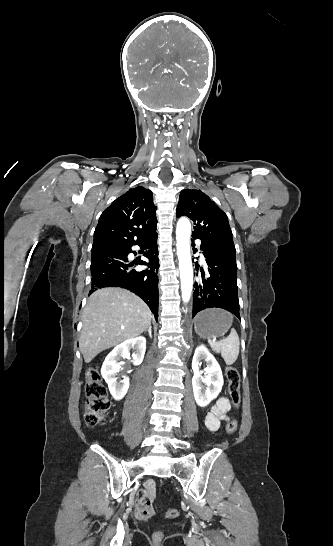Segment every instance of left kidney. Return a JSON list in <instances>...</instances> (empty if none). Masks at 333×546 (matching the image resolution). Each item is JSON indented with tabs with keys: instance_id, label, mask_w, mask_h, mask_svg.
<instances>
[{
	"instance_id": "obj_1",
	"label": "left kidney",
	"mask_w": 333,
	"mask_h": 546,
	"mask_svg": "<svg viewBox=\"0 0 333 546\" xmlns=\"http://www.w3.org/2000/svg\"><path fill=\"white\" fill-rule=\"evenodd\" d=\"M202 359L206 362L205 376H202L203 372L200 371ZM192 369L194 372L192 386L195 401L200 407H205L217 397L222 389L224 381L221 368L205 345H200L195 350Z\"/></svg>"
}]
</instances>
